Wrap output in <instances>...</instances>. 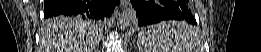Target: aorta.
I'll return each instance as SVG.
<instances>
[{
    "instance_id": "1",
    "label": "aorta",
    "mask_w": 261,
    "mask_h": 52,
    "mask_svg": "<svg viewBox=\"0 0 261 52\" xmlns=\"http://www.w3.org/2000/svg\"><path fill=\"white\" fill-rule=\"evenodd\" d=\"M138 17L133 7H126L118 18L120 28H132L137 24Z\"/></svg>"
}]
</instances>
